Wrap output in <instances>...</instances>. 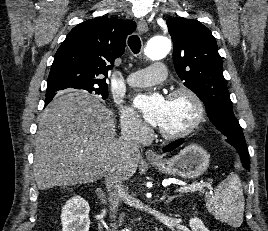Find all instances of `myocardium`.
<instances>
[{"mask_svg":"<svg viewBox=\"0 0 268 231\" xmlns=\"http://www.w3.org/2000/svg\"><path fill=\"white\" fill-rule=\"evenodd\" d=\"M182 96L188 98L193 103L194 117L192 121L185 128L176 132H167L161 129L160 127H158L157 133L165 139L173 140V139L184 138L190 135L193 131H195L204 120L205 107H204L203 101L198 96V94L195 93L193 90L189 88H185V87L172 90L168 94V99L182 97Z\"/></svg>","mask_w":268,"mask_h":231,"instance_id":"obj_1","label":"myocardium"}]
</instances>
